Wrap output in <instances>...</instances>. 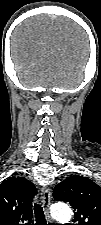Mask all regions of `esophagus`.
Instances as JSON below:
<instances>
[{
  "mask_svg": "<svg viewBox=\"0 0 101 225\" xmlns=\"http://www.w3.org/2000/svg\"><path fill=\"white\" fill-rule=\"evenodd\" d=\"M40 195H41V202H42L44 211L46 213V216H47L48 220H51L50 215H49V206H50V203H51V190H50V188L49 187H43L41 189Z\"/></svg>",
  "mask_w": 101,
  "mask_h": 225,
  "instance_id": "34e87169",
  "label": "esophagus"
}]
</instances>
